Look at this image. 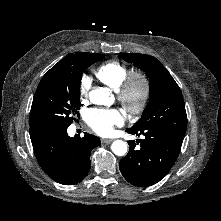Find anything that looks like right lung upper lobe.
<instances>
[{"mask_svg":"<svg viewBox=\"0 0 221 221\" xmlns=\"http://www.w3.org/2000/svg\"><path fill=\"white\" fill-rule=\"evenodd\" d=\"M81 53V52H80ZM80 53H75V54H69L66 57H64L61 61H59L55 66H53L49 72L58 70L61 66H63L67 61H72L74 60ZM30 134H34L31 132Z\"/></svg>","mask_w":221,"mask_h":221,"instance_id":"right-lung-upper-lobe-1","label":"right lung upper lobe"}]
</instances>
